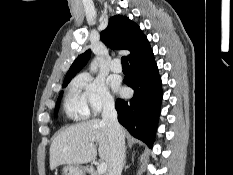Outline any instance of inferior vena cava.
<instances>
[{
    "instance_id": "602c4592",
    "label": "inferior vena cava",
    "mask_w": 233,
    "mask_h": 175,
    "mask_svg": "<svg viewBox=\"0 0 233 175\" xmlns=\"http://www.w3.org/2000/svg\"><path fill=\"white\" fill-rule=\"evenodd\" d=\"M102 122L107 124L112 140V152L107 175H121L125 156V141L122 127L117 120V111L113 100H107L104 103Z\"/></svg>"
}]
</instances>
